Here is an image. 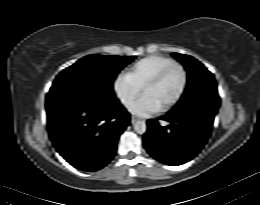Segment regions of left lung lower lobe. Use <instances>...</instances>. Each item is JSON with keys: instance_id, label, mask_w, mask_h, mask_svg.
I'll return each instance as SVG.
<instances>
[{"instance_id": "1", "label": "left lung lower lobe", "mask_w": 260, "mask_h": 205, "mask_svg": "<svg viewBox=\"0 0 260 205\" xmlns=\"http://www.w3.org/2000/svg\"><path fill=\"white\" fill-rule=\"evenodd\" d=\"M168 126L157 120L147 121L144 145L156 160L167 165H181L193 159L207 142L214 117L198 112H169L161 117Z\"/></svg>"}]
</instances>
